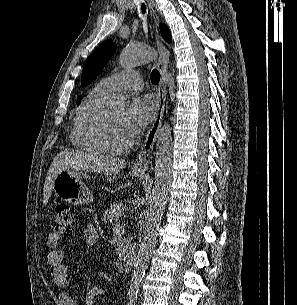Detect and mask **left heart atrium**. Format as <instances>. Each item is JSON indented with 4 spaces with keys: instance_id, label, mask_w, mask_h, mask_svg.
Here are the masks:
<instances>
[{
    "instance_id": "obj_1",
    "label": "left heart atrium",
    "mask_w": 297,
    "mask_h": 305,
    "mask_svg": "<svg viewBox=\"0 0 297 305\" xmlns=\"http://www.w3.org/2000/svg\"><path fill=\"white\" fill-rule=\"evenodd\" d=\"M155 108L151 96H135L131 100L122 120L123 127L131 139L139 135L149 124Z\"/></svg>"
}]
</instances>
